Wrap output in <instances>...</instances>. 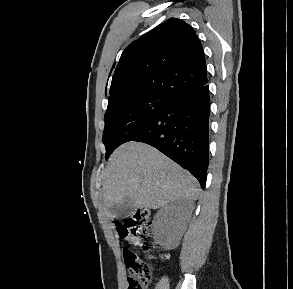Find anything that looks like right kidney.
<instances>
[{"mask_svg":"<svg viewBox=\"0 0 293 289\" xmlns=\"http://www.w3.org/2000/svg\"><path fill=\"white\" fill-rule=\"evenodd\" d=\"M189 207L182 200L164 206L154 217V228L167 248L177 246L187 228Z\"/></svg>","mask_w":293,"mask_h":289,"instance_id":"1","label":"right kidney"}]
</instances>
